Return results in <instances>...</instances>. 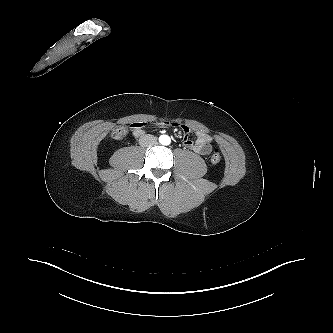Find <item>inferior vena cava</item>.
<instances>
[{
    "instance_id": "obj_1",
    "label": "inferior vena cava",
    "mask_w": 333,
    "mask_h": 333,
    "mask_svg": "<svg viewBox=\"0 0 333 333\" xmlns=\"http://www.w3.org/2000/svg\"><path fill=\"white\" fill-rule=\"evenodd\" d=\"M139 144L142 147H150L156 144V138L153 135L146 134L139 139Z\"/></svg>"
}]
</instances>
